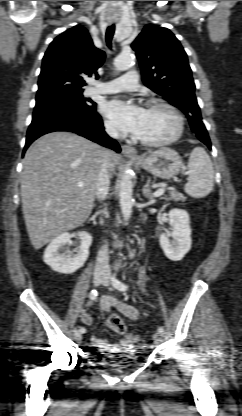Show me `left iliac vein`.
Listing matches in <instances>:
<instances>
[{
  "label": "left iliac vein",
  "instance_id": "1",
  "mask_svg": "<svg viewBox=\"0 0 242 416\" xmlns=\"http://www.w3.org/2000/svg\"><path fill=\"white\" fill-rule=\"evenodd\" d=\"M104 286H109L110 285V277H109V274H106L105 275V278L102 280V282H101ZM153 338H154V340H155V343L156 344H160L161 342H162V338H161V335H160V333H155L154 335H153Z\"/></svg>",
  "mask_w": 242,
  "mask_h": 416
}]
</instances>
